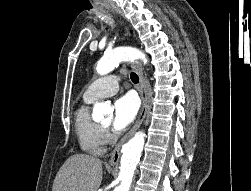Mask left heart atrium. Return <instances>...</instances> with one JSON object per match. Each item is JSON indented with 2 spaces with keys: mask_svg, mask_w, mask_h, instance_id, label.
<instances>
[{
  "mask_svg": "<svg viewBox=\"0 0 251 191\" xmlns=\"http://www.w3.org/2000/svg\"><path fill=\"white\" fill-rule=\"evenodd\" d=\"M113 110V130L122 132L134 121L138 106L134 98L126 96L115 101Z\"/></svg>",
  "mask_w": 251,
  "mask_h": 191,
  "instance_id": "1",
  "label": "left heart atrium"
}]
</instances>
